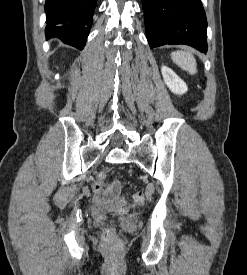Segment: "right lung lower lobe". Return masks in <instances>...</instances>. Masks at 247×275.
<instances>
[{
    "label": "right lung lower lobe",
    "instance_id": "1",
    "mask_svg": "<svg viewBox=\"0 0 247 275\" xmlns=\"http://www.w3.org/2000/svg\"><path fill=\"white\" fill-rule=\"evenodd\" d=\"M96 4L97 0H46V39L59 38L82 50Z\"/></svg>",
    "mask_w": 247,
    "mask_h": 275
}]
</instances>
